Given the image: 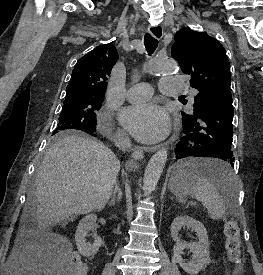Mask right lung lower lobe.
<instances>
[{
	"instance_id": "obj_1",
	"label": "right lung lower lobe",
	"mask_w": 263,
	"mask_h": 275,
	"mask_svg": "<svg viewBox=\"0 0 263 275\" xmlns=\"http://www.w3.org/2000/svg\"><path fill=\"white\" fill-rule=\"evenodd\" d=\"M87 133H89V134H91V135H94L93 132H87Z\"/></svg>"
}]
</instances>
